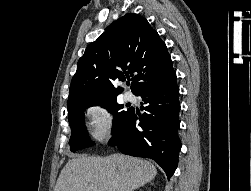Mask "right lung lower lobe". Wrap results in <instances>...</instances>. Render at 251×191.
Wrapping results in <instances>:
<instances>
[{
    "label": "right lung lower lobe",
    "mask_w": 251,
    "mask_h": 191,
    "mask_svg": "<svg viewBox=\"0 0 251 191\" xmlns=\"http://www.w3.org/2000/svg\"><path fill=\"white\" fill-rule=\"evenodd\" d=\"M135 95L142 97L141 104H146L142 109L147 113L140 115V123L137 124L133 109L108 144L117 146L124 154L155 160L169 179L176 170L181 149L176 72L160 83L142 88Z\"/></svg>",
    "instance_id": "1"
}]
</instances>
